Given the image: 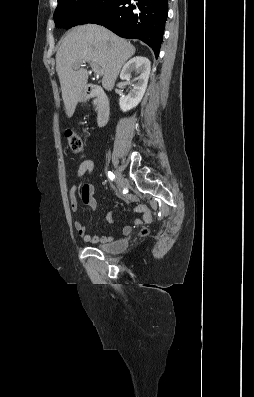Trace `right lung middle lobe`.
I'll list each match as a JSON object with an SVG mask.
<instances>
[{"instance_id": "obj_1", "label": "right lung middle lobe", "mask_w": 254, "mask_h": 397, "mask_svg": "<svg viewBox=\"0 0 254 397\" xmlns=\"http://www.w3.org/2000/svg\"><path fill=\"white\" fill-rule=\"evenodd\" d=\"M114 0H58L54 13L56 27L69 29L89 23L103 14Z\"/></svg>"}]
</instances>
